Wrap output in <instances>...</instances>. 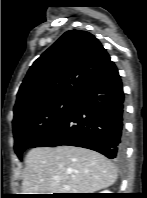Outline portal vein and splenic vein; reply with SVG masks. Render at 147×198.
Listing matches in <instances>:
<instances>
[{"label": "portal vein and splenic vein", "mask_w": 147, "mask_h": 198, "mask_svg": "<svg viewBox=\"0 0 147 198\" xmlns=\"http://www.w3.org/2000/svg\"><path fill=\"white\" fill-rule=\"evenodd\" d=\"M55 180H56V181H59V179H58V178H55ZM66 188L68 189V187H67V186H66Z\"/></svg>", "instance_id": "portal-vein-and-splenic-vein-1"}]
</instances>
